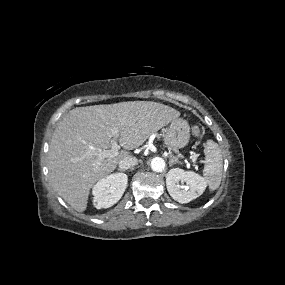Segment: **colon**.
<instances>
[{
  "mask_svg": "<svg viewBox=\"0 0 285 285\" xmlns=\"http://www.w3.org/2000/svg\"><path fill=\"white\" fill-rule=\"evenodd\" d=\"M193 133L196 135V136H199L200 135V130L197 126H194L193 129H192Z\"/></svg>",
  "mask_w": 285,
  "mask_h": 285,
  "instance_id": "colon-1",
  "label": "colon"
}]
</instances>
